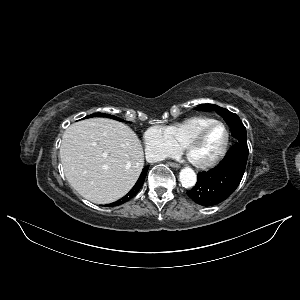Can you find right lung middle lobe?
<instances>
[{
	"label": "right lung middle lobe",
	"instance_id": "1",
	"mask_svg": "<svg viewBox=\"0 0 300 300\" xmlns=\"http://www.w3.org/2000/svg\"><path fill=\"white\" fill-rule=\"evenodd\" d=\"M108 117V118H111V119H115V120H118V121H122V119L118 118V117H115L113 115H109V114H104V113H94L92 115H89L85 118H88V117Z\"/></svg>",
	"mask_w": 300,
	"mask_h": 300
}]
</instances>
